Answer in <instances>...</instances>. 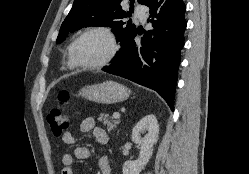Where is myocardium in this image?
Masks as SVG:
<instances>
[{
	"mask_svg": "<svg viewBox=\"0 0 249 174\" xmlns=\"http://www.w3.org/2000/svg\"><path fill=\"white\" fill-rule=\"evenodd\" d=\"M91 33L104 34L110 43V51L103 60L97 63L87 64V63L82 62L79 59L77 55V47L81 39ZM118 50H119V44H118V41H117V38L114 32L109 27L97 25V26H91L87 28L74 40L72 44V48H71V53H72L73 60L75 64L77 65V67L84 68V69H99V68H102L108 65L115 58Z\"/></svg>",
	"mask_w": 249,
	"mask_h": 174,
	"instance_id": "1",
	"label": "myocardium"
}]
</instances>
